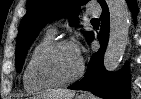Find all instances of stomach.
Instances as JSON below:
<instances>
[{"mask_svg":"<svg viewBox=\"0 0 141 99\" xmlns=\"http://www.w3.org/2000/svg\"><path fill=\"white\" fill-rule=\"evenodd\" d=\"M33 99H40V98H33ZM76 99H86L85 96L81 95V96H78Z\"/></svg>","mask_w":141,"mask_h":99,"instance_id":"stomach-1","label":"stomach"}]
</instances>
